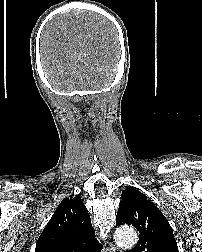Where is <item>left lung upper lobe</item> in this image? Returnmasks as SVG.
<instances>
[{
	"mask_svg": "<svg viewBox=\"0 0 202 252\" xmlns=\"http://www.w3.org/2000/svg\"><path fill=\"white\" fill-rule=\"evenodd\" d=\"M116 225H133L138 244L129 252H178L171 226L162 212L134 188L122 192Z\"/></svg>",
	"mask_w": 202,
	"mask_h": 252,
	"instance_id": "1",
	"label": "left lung upper lobe"
}]
</instances>
